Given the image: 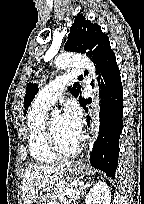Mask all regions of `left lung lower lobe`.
<instances>
[{"label":"left lung lower lobe","instance_id":"obj_1","mask_svg":"<svg viewBox=\"0 0 144 204\" xmlns=\"http://www.w3.org/2000/svg\"><path fill=\"white\" fill-rule=\"evenodd\" d=\"M97 74L101 89L100 126L98 139L91 154V164L115 178L119 139L123 128V87L116 58L107 65H98ZM80 102L87 111L86 104L91 102V99L85 101L80 98ZM87 122L90 123L89 116Z\"/></svg>","mask_w":144,"mask_h":204}]
</instances>
